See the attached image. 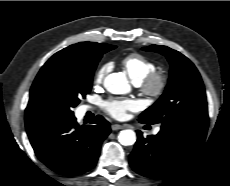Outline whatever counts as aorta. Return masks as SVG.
Segmentation results:
<instances>
[{"label": "aorta", "mask_w": 230, "mask_h": 186, "mask_svg": "<svg viewBox=\"0 0 230 186\" xmlns=\"http://www.w3.org/2000/svg\"><path fill=\"white\" fill-rule=\"evenodd\" d=\"M104 86L113 94H124L129 90L128 80L121 73L109 74L104 80ZM118 139L124 146L133 145L136 142V133L131 129L122 130Z\"/></svg>", "instance_id": "1"}]
</instances>
